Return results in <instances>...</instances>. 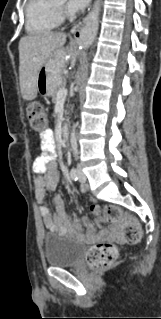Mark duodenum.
Masks as SVG:
<instances>
[{"label":"duodenum","instance_id":"1","mask_svg":"<svg viewBox=\"0 0 161 319\" xmlns=\"http://www.w3.org/2000/svg\"><path fill=\"white\" fill-rule=\"evenodd\" d=\"M69 126L67 124H63L60 129V136L62 140H66L68 138Z\"/></svg>","mask_w":161,"mask_h":319}]
</instances>
